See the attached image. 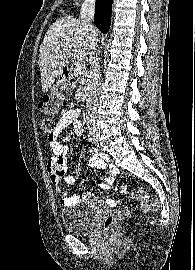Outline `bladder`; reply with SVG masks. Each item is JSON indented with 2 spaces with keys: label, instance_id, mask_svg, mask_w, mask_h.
I'll use <instances>...</instances> for the list:
<instances>
[{
  "label": "bladder",
  "instance_id": "1",
  "mask_svg": "<svg viewBox=\"0 0 195 270\" xmlns=\"http://www.w3.org/2000/svg\"><path fill=\"white\" fill-rule=\"evenodd\" d=\"M97 215L98 208L88 206L65 208L60 212L64 229L76 235L89 234L94 228Z\"/></svg>",
  "mask_w": 195,
  "mask_h": 270
}]
</instances>
